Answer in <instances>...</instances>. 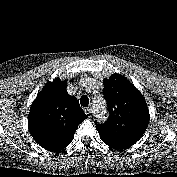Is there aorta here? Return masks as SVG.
Here are the masks:
<instances>
[{"label":"aorta","mask_w":177,"mask_h":177,"mask_svg":"<svg viewBox=\"0 0 177 177\" xmlns=\"http://www.w3.org/2000/svg\"><path fill=\"white\" fill-rule=\"evenodd\" d=\"M95 106L97 108V111L99 113V117L100 118H104L105 117V113H106V107H105V102L103 100H97L95 102Z\"/></svg>","instance_id":"1"}]
</instances>
